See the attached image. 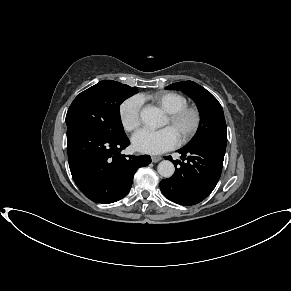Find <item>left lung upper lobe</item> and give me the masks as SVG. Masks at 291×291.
Wrapping results in <instances>:
<instances>
[{
  "mask_svg": "<svg viewBox=\"0 0 291 291\" xmlns=\"http://www.w3.org/2000/svg\"><path fill=\"white\" fill-rule=\"evenodd\" d=\"M167 89H180L195 101L199 109L201 121L197 133L186 146L202 142L227 143L223 109L209 91L193 81L173 83Z\"/></svg>",
  "mask_w": 291,
  "mask_h": 291,
  "instance_id": "5c2ea615",
  "label": "left lung upper lobe"
}]
</instances>
